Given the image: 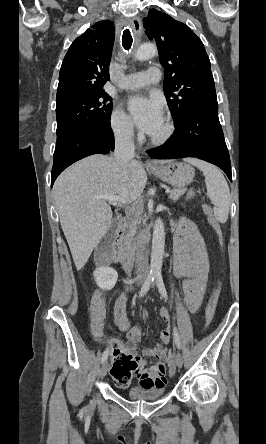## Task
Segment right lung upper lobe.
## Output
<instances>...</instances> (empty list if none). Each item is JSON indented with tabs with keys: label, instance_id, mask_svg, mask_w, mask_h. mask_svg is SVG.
<instances>
[{
	"label": "right lung upper lobe",
	"instance_id": "cb5924a9",
	"mask_svg": "<svg viewBox=\"0 0 266 444\" xmlns=\"http://www.w3.org/2000/svg\"><path fill=\"white\" fill-rule=\"evenodd\" d=\"M114 35L113 23L100 21L74 40L60 69L57 99L103 89L109 80Z\"/></svg>",
	"mask_w": 266,
	"mask_h": 444
}]
</instances>
